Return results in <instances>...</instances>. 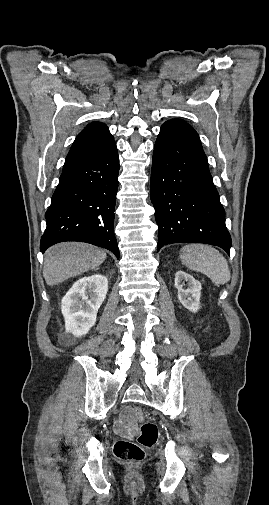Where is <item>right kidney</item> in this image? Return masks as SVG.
I'll return each instance as SVG.
<instances>
[{
    "label": "right kidney",
    "instance_id": "ca27d5eb",
    "mask_svg": "<svg viewBox=\"0 0 269 505\" xmlns=\"http://www.w3.org/2000/svg\"><path fill=\"white\" fill-rule=\"evenodd\" d=\"M108 290V280L100 274L76 281L62 299L61 311L65 319V339L80 337L96 323L98 309Z\"/></svg>",
    "mask_w": 269,
    "mask_h": 505
}]
</instances>
